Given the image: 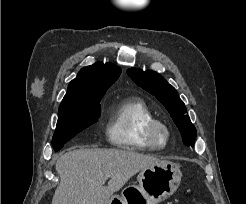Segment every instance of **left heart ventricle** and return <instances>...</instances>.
Wrapping results in <instances>:
<instances>
[{
    "label": "left heart ventricle",
    "mask_w": 246,
    "mask_h": 204,
    "mask_svg": "<svg viewBox=\"0 0 246 204\" xmlns=\"http://www.w3.org/2000/svg\"><path fill=\"white\" fill-rule=\"evenodd\" d=\"M159 138H160V140H164V138H165V134H164V132H160L159 133Z\"/></svg>",
    "instance_id": "left-heart-ventricle-1"
}]
</instances>
